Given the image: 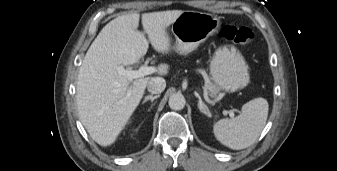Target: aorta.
I'll return each instance as SVG.
<instances>
[{
	"instance_id": "aorta-1",
	"label": "aorta",
	"mask_w": 337,
	"mask_h": 171,
	"mask_svg": "<svg viewBox=\"0 0 337 171\" xmlns=\"http://www.w3.org/2000/svg\"><path fill=\"white\" fill-rule=\"evenodd\" d=\"M168 104L172 110H182L186 104V100L182 94L175 93L169 97Z\"/></svg>"
}]
</instances>
